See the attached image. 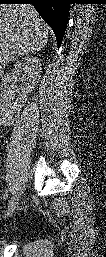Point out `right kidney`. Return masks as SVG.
I'll list each match as a JSON object with an SVG mask.
<instances>
[{"label":"right kidney","mask_w":106,"mask_h":257,"mask_svg":"<svg viewBox=\"0 0 106 257\" xmlns=\"http://www.w3.org/2000/svg\"><path fill=\"white\" fill-rule=\"evenodd\" d=\"M40 73V59L35 56H26L23 60L17 62L11 72L7 73L1 80L0 102L2 111L8 113L18 111L26 101L28 93H30L38 83ZM16 81L20 82V94L15 102H11L10 84Z\"/></svg>","instance_id":"obj_1"}]
</instances>
